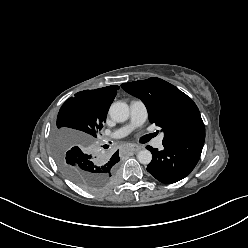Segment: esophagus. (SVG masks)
<instances>
[{
	"label": "esophagus",
	"mask_w": 248,
	"mask_h": 248,
	"mask_svg": "<svg viewBox=\"0 0 248 248\" xmlns=\"http://www.w3.org/2000/svg\"><path fill=\"white\" fill-rule=\"evenodd\" d=\"M130 150L134 153L138 152L139 150H141V146L137 145V144H132L130 147Z\"/></svg>",
	"instance_id": "34e87169"
}]
</instances>
